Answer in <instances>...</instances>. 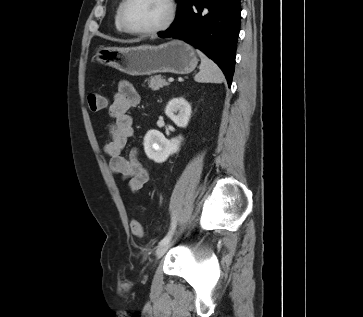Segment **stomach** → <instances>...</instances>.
<instances>
[{"instance_id": "stomach-1", "label": "stomach", "mask_w": 363, "mask_h": 317, "mask_svg": "<svg viewBox=\"0 0 363 317\" xmlns=\"http://www.w3.org/2000/svg\"><path fill=\"white\" fill-rule=\"evenodd\" d=\"M96 61L129 75L191 73L198 64L194 49L184 41L172 40L158 46L100 48Z\"/></svg>"}]
</instances>
